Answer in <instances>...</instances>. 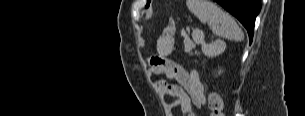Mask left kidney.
<instances>
[{"instance_id":"obj_1","label":"left kidney","mask_w":305,"mask_h":116,"mask_svg":"<svg viewBox=\"0 0 305 116\" xmlns=\"http://www.w3.org/2000/svg\"><path fill=\"white\" fill-rule=\"evenodd\" d=\"M218 73H219V75H220V74L222 73V70L220 69Z\"/></svg>"}]
</instances>
